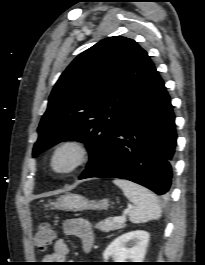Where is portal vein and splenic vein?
Segmentation results:
<instances>
[{
    "instance_id": "18ae733b",
    "label": "portal vein and splenic vein",
    "mask_w": 205,
    "mask_h": 265,
    "mask_svg": "<svg viewBox=\"0 0 205 265\" xmlns=\"http://www.w3.org/2000/svg\"><path fill=\"white\" fill-rule=\"evenodd\" d=\"M113 220H114V222L121 223V222H124L126 220V218L122 217V216H118V217L113 218Z\"/></svg>"
}]
</instances>
